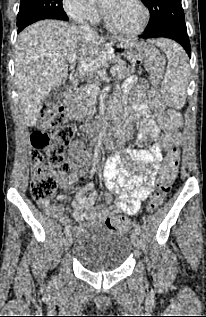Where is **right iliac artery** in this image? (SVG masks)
I'll list each match as a JSON object with an SVG mask.
<instances>
[{
  "label": "right iliac artery",
  "instance_id": "1",
  "mask_svg": "<svg viewBox=\"0 0 206 317\" xmlns=\"http://www.w3.org/2000/svg\"><path fill=\"white\" fill-rule=\"evenodd\" d=\"M70 229H71V226L70 225H67L64 229V232L65 233H69L70 232Z\"/></svg>",
  "mask_w": 206,
  "mask_h": 317
}]
</instances>
